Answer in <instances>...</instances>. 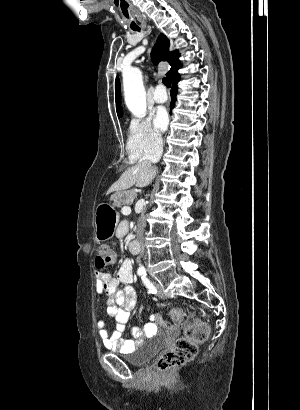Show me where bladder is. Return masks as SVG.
Returning <instances> with one entry per match:
<instances>
[{
  "mask_svg": "<svg viewBox=\"0 0 300 410\" xmlns=\"http://www.w3.org/2000/svg\"><path fill=\"white\" fill-rule=\"evenodd\" d=\"M159 345L141 344L133 352L123 355V361L130 365L141 367L146 365L158 352Z\"/></svg>",
  "mask_w": 300,
  "mask_h": 410,
  "instance_id": "31cf9c89",
  "label": "bladder"
}]
</instances>
